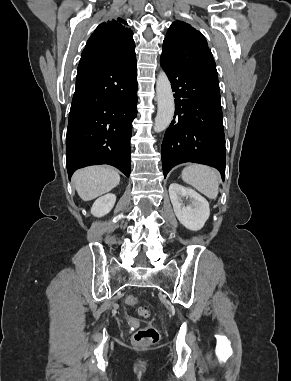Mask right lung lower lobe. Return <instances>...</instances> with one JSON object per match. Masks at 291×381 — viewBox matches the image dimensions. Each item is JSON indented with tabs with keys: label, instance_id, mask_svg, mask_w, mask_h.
<instances>
[{
	"label": "right lung lower lobe",
	"instance_id": "obj_1",
	"mask_svg": "<svg viewBox=\"0 0 291 381\" xmlns=\"http://www.w3.org/2000/svg\"><path fill=\"white\" fill-rule=\"evenodd\" d=\"M136 55L115 63L79 64L66 136L69 178L97 164L131 172L130 139L137 115Z\"/></svg>",
	"mask_w": 291,
	"mask_h": 381
}]
</instances>
